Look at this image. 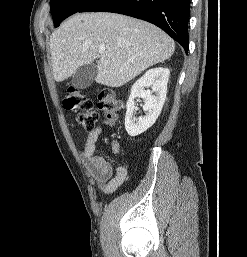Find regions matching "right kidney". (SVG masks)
Segmentation results:
<instances>
[{
    "label": "right kidney",
    "mask_w": 247,
    "mask_h": 257,
    "mask_svg": "<svg viewBox=\"0 0 247 257\" xmlns=\"http://www.w3.org/2000/svg\"><path fill=\"white\" fill-rule=\"evenodd\" d=\"M170 71L164 67H156L146 71L131 88V94L127 101V112L125 115V129L128 135L134 137L149 129L159 117L167 94V83ZM151 87L150 90H144ZM155 93V95H153ZM143 98L145 104L143 110L147 111L146 116L134 118L135 98Z\"/></svg>",
    "instance_id": "1"
}]
</instances>
